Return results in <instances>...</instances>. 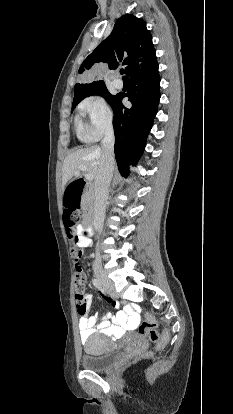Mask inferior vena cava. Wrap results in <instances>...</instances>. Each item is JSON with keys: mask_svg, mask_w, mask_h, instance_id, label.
I'll return each instance as SVG.
<instances>
[{"mask_svg": "<svg viewBox=\"0 0 233 414\" xmlns=\"http://www.w3.org/2000/svg\"><path fill=\"white\" fill-rule=\"evenodd\" d=\"M115 136L112 126H108L101 141L102 158L101 168L94 182V228L100 230L105 219L106 202L109 196V186L115 167L114 158ZM95 263H99L96 260Z\"/></svg>", "mask_w": 233, "mask_h": 414, "instance_id": "602c4592", "label": "inferior vena cava"}]
</instances>
